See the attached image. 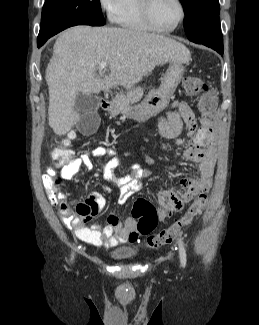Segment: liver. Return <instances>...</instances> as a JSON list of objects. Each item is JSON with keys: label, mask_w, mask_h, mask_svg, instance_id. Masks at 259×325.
Listing matches in <instances>:
<instances>
[{"label": "liver", "mask_w": 259, "mask_h": 325, "mask_svg": "<svg viewBox=\"0 0 259 325\" xmlns=\"http://www.w3.org/2000/svg\"><path fill=\"white\" fill-rule=\"evenodd\" d=\"M190 60V51L163 35L117 27L75 26L63 31L46 69L49 88V126L64 135L80 119L75 110L79 92L98 94L119 85L130 88L156 65ZM109 76H96L101 62Z\"/></svg>", "instance_id": "6515ba94"}]
</instances>
